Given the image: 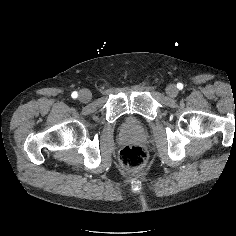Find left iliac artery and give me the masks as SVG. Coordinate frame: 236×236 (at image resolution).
<instances>
[{
    "instance_id": "obj_1",
    "label": "left iliac artery",
    "mask_w": 236,
    "mask_h": 236,
    "mask_svg": "<svg viewBox=\"0 0 236 236\" xmlns=\"http://www.w3.org/2000/svg\"><path fill=\"white\" fill-rule=\"evenodd\" d=\"M177 88H178L179 90L183 89V84H182V83H178V84H177Z\"/></svg>"
}]
</instances>
